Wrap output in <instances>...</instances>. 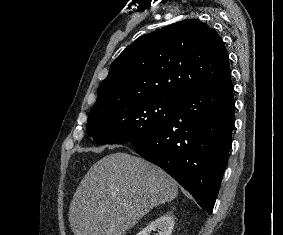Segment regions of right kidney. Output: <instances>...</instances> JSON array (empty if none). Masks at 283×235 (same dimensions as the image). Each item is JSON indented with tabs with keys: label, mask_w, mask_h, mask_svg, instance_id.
Listing matches in <instances>:
<instances>
[{
	"label": "right kidney",
	"mask_w": 283,
	"mask_h": 235,
	"mask_svg": "<svg viewBox=\"0 0 283 235\" xmlns=\"http://www.w3.org/2000/svg\"><path fill=\"white\" fill-rule=\"evenodd\" d=\"M174 227V220L171 216L162 215L146 228L141 230L137 235H150L152 231H158L157 235H171Z\"/></svg>",
	"instance_id": "ca27d5eb"
}]
</instances>
